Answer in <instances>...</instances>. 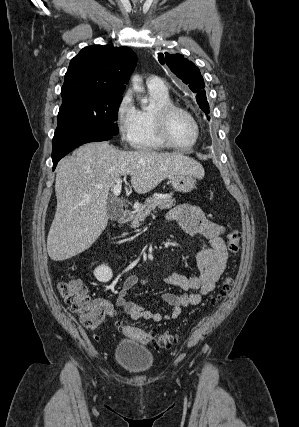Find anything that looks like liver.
Wrapping results in <instances>:
<instances>
[{"mask_svg": "<svg viewBox=\"0 0 299 427\" xmlns=\"http://www.w3.org/2000/svg\"><path fill=\"white\" fill-rule=\"evenodd\" d=\"M204 176L194 159L181 153L122 151L108 142L79 147L57 166V208L47 237V251L63 261L88 249L108 224L107 198L121 176L130 175L138 194H145L173 174Z\"/></svg>", "mask_w": 299, "mask_h": 427, "instance_id": "6515ba94", "label": "liver"}]
</instances>
